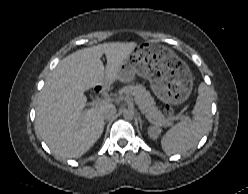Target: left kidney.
<instances>
[{
  "mask_svg": "<svg viewBox=\"0 0 248 194\" xmlns=\"http://www.w3.org/2000/svg\"><path fill=\"white\" fill-rule=\"evenodd\" d=\"M161 133V129L159 126L155 125V126H151L148 129V135L150 138H152L153 140H156L159 136V134Z\"/></svg>",
  "mask_w": 248,
  "mask_h": 194,
  "instance_id": "1",
  "label": "left kidney"
}]
</instances>
